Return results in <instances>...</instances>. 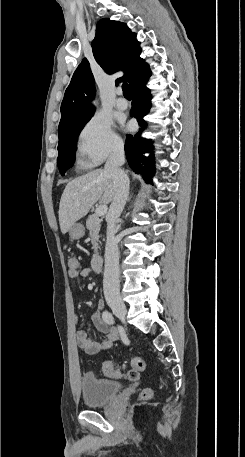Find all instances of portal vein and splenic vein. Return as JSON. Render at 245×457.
<instances>
[{
	"mask_svg": "<svg viewBox=\"0 0 245 457\" xmlns=\"http://www.w3.org/2000/svg\"><path fill=\"white\" fill-rule=\"evenodd\" d=\"M107 212V204H100V206H97L96 210H95V214H97V216H102V214H106Z\"/></svg>",
	"mask_w": 245,
	"mask_h": 457,
	"instance_id": "portal-vein-and-splenic-vein-1",
	"label": "portal vein and splenic vein"
}]
</instances>
